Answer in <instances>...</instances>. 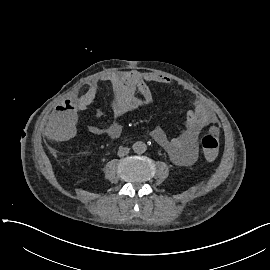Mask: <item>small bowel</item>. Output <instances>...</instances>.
Instances as JSON below:
<instances>
[{
    "instance_id": "c3829d8e",
    "label": "small bowel",
    "mask_w": 270,
    "mask_h": 270,
    "mask_svg": "<svg viewBox=\"0 0 270 270\" xmlns=\"http://www.w3.org/2000/svg\"><path fill=\"white\" fill-rule=\"evenodd\" d=\"M100 83L111 85L113 91L111 109L114 121L105 127L91 126L89 132L95 136L116 140L123 131L122 118L151 102L152 91L149 84L168 85L171 80L157 73L136 70L105 74L89 82L85 92L76 100L70 97L60 98L53 106V113L44 122V131L59 141L70 139L80 129L77 112L83 111L92 103ZM204 128L218 132L217 118L203 101L195 99L193 108L186 113L185 128L179 135L168 137L165 131L158 127L151 132V136L175 164L188 165L195 162L198 156L197 139Z\"/></svg>"
}]
</instances>
